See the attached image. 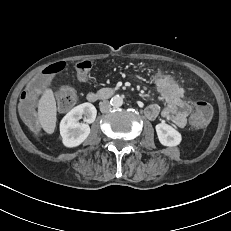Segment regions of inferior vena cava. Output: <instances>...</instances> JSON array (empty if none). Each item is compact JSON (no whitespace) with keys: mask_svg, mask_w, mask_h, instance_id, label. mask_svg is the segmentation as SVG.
Returning <instances> with one entry per match:
<instances>
[{"mask_svg":"<svg viewBox=\"0 0 231 231\" xmlns=\"http://www.w3.org/2000/svg\"><path fill=\"white\" fill-rule=\"evenodd\" d=\"M100 111L106 113L111 109V104L108 100H104L99 103Z\"/></svg>","mask_w":231,"mask_h":231,"instance_id":"1","label":"inferior vena cava"}]
</instances>
